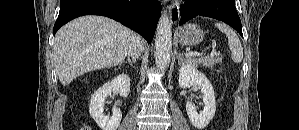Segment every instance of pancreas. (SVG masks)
<instances>
[{
	"label": "pancreas",
	"mask_w": 299,
	"mask_h": 130,
	"mask_svg": "<svg viewBox=\"0 0 299 130\" xmlns=\"http://www.w3.org/2000/svg\"><path fill=\"white\" fill-rule=\"evenodd\" d=\"M186 63H189L192 66H204V67H212L216 63H221L222 62V57H215V56H205L201 58H192V57H187L185 60Z\"/></svg>",
	"instance_id": "1"
}]
</instances>
